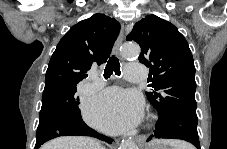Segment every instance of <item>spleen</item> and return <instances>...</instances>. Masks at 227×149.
Segmentation results:
<instances>
[{
  "instance_id": "spleen-1",
  "label": "spleen",
  "mask_w": 227,
  "mask_h": 149,
  "mask_svg": "<svg viewBox=\"0 0 227 149\" xmlns=\"http://www.w3.org/2000/svg\"><path fill=\"white\" fill-rule=\"evenodd\" d=\"M162 143L163 145H170L173 149H192V147L182 141H175V140H154L152 145H157Z\"/></svg>"
}]
</instances>
